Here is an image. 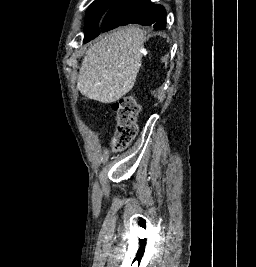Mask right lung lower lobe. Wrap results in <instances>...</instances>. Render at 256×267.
<instances>
[{
    "instance_id": "obj_1",
    "label": "right lung lower lobe",
    "mask_w": 256,
    "mask_h": 267,
    "mask_svg": "<svg viewBox=\"0 0 256 267\" xmlns=\"http://www.w3.org/2000/svg\"><path fill=\"white\" fill-rule=\"evenodd\" d=\"M165 16L166 11L164 7L153 4L150 0H143L111 28L114 29L118 26L132 23L149 25L156 30H164L166 28Z\"/></svg>"
}]
</instances>
